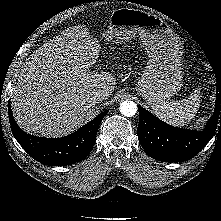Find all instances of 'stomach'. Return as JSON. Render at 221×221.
Returning a JSON list of instances; mask_svg holds the SVG:
<instances>
[{"label":"stomach","instance_id":"obj_1","mask_svg":"<svg viewBox=\"0 0 221 221\" xmlns=\"http://www.w3.org/2000/svg\"><path fill=\"white\" fill-rule=\"evenodd\" d=\"M137 34L149 61L135 90L152 107L168 103L182 87V42L161 18L132 8L114 10L103 37L111 42H127Z\"/></svg>","mask_w":221,"mask_h":221}]
</instances>
